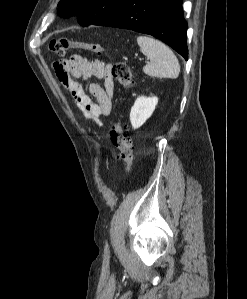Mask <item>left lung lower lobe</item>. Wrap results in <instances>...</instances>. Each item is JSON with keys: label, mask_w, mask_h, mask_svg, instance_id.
<instances>
[{"label": "left lung lower lobe", "mask_w": 247, "mask_h": 299, "mask_svg": "<svg viewBox=\"0 0 247 299\" xmlns=\"http://www.w3.org/2000/svg\"><path fill=\"white\" fill-rule=\"evenodd\" d=\"M93 25L150 34L188 58L182 0H121Z\"/></svg>", "instance_id": "1"}]
</instances>
